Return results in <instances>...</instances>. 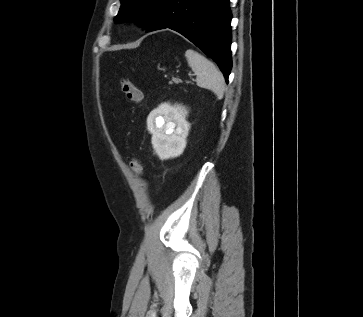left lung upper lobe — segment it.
I'll return each instance as SVG.
<instances>
[{"label":"left lung upper lobe","instance_id":"left-lung-upper-lobe-1","mask_svg":"<svg viewBox=\"0 0 363 317\" xmlns=\"http://www.w3.org/2000/svg\"><path fill=\"white\" fill-rule=\"evenodd\" d=\"M161 0H121V8L115 22L136 20L145 29L152 22Z\"/></svg>","mask_w":363,"mask_h":317}]
</instances>
